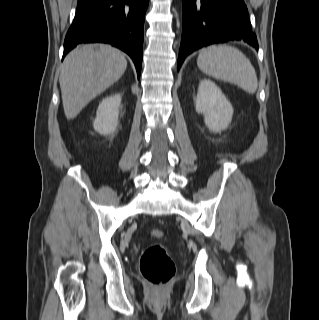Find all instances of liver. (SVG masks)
<instances>
[{
	"label": "liver",
	"mask_w": 319,
	"mask_h": 320,
	"mask_svg": "<svg viewBox=\"0 0 319 320\" xmlns=\"http://www.w3.org/2000/svg\"><path fill=\"white\" fill-rule=\"evenodd\" d=\"M126 67L124 54L110 45H82L71 51L59 77L66 118H75L91 100L118 81Z\"/></svg>",
	"instance_id": "liver-1"
}]
</instances>
